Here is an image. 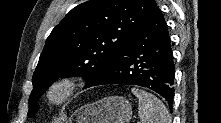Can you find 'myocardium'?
Wrapping results in <instances>:
<instances>
[{
    "label": "myocardium",
    "mask_w": 221,
    "mask_h": 123,
    "mask_svg": "<svg viewBox=\"0 0 221 123\" xmlns=\"http://www.w3.org/2000/svg\"><path fill=\"white\" fill-rule=\"evenodd\" d=\"M80 82L73 76H62L55 79L45 90V100L53 107L70 102L78 93Z\"/></svg>",
    "instance_id": "obj_1"
}]
</instances>
